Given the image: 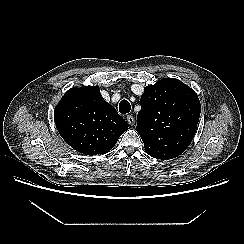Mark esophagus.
I'll return each mask as SVG.
<instances>
[{
	"label": "esophagus",
	"mask_w": 244,
	"mask_h": 244,
	"mask_svg": "<svg viewBox=\"0 0 244 244\" xmlns=\"http://www.w3.org/2000/svg\"><path fill=\"white\" fill-rule=\"evenodd\" d=\"M126 119H127V122L129 123V125H131V126L134 125L135 120L132 115H127Z\"/></svg>",
	"instance_id": "1"
}]
</instances>
